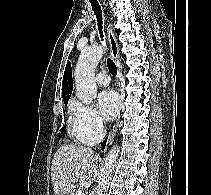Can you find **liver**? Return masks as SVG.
I'll use <instances>...</instances> for the list:
<instances>
[{"label": "liver", "instance_id": "6515ba94", "mask_svg": "<svg viewBox=\"0 0 211 195\" xmlns=\"http://www.w3.org/2000/svg\"><path fill=\"white\" fill-rule=\"evenodd\" d=\"M99 156L81 145H61L52 160L51 181L55 195H75L76 173L79 188L87 189L97 176Z\"/></svg>", "mask_w": 211, "mask_h": 195}]
</instances>
